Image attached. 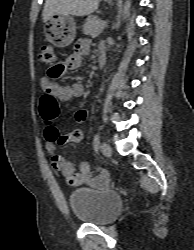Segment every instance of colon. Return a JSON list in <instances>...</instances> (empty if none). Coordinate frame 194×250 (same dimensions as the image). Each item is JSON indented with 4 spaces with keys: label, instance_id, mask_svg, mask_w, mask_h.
I'll return each instance as SVG.
<instances>
[{
    "label": "colon",
    "instance_id": "1",
    "mask_svg": "<svg viewBox=\"0 0 194 250\" xmlns=\"http://www.w3.org/2000/svg\"><path fill=\"white\" fill-rule=\"evenodd\" d=\"M39 59L42 64L50 67L51 77H57L56 66L58 65V56L54 47L49 44L42 45L40 49ZM40 110L43 119L53 120L57 117L59 111L58 102L50 92H46L41 96ZM66 137H69L73 140L82 139L80 131H74L66 135Z\"/></svg>",
    "mask_w": 194,
    "mask_h": 250
}]
</instances>
